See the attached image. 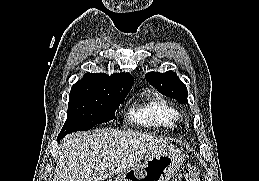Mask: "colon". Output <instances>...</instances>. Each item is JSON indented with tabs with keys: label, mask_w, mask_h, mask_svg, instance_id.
<instances>
[{
	"label": "colon",
	"mask_w": 259,
	"mask_h": 181,
	"mask_svg": "<svg viewBox=\"0 0 259 181\" xmlns=\"http://www.w3.org/2000/svg\"><path fill=\"white\" fill-rule=\"evenodd\" d=\"M199 170L197 167L192 166L187 168L184 172L175 177L174 181H198Z\"/></svg>",
	"instance_id": "colon-1"
}]
</instances>
